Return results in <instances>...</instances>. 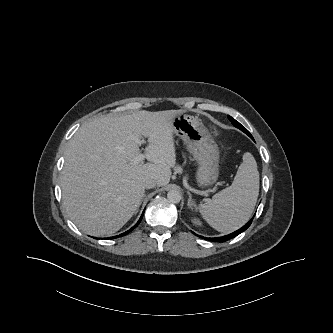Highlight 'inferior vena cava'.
Listing matches in <instances>:
<instances>
[{
    "instance_id": "inferior-vena-cava-1",
    "label": "inferior vena cava",
    "mask_w": 333,
    "mask_h": 333,
    "mask_svg": "<svg viewBox=\"0 0 333 333\" xmlns=\"http://www.w3.org/2000/svg\"><path fill=\"white\" fill-rule=\"evenodd\" d=\"M156 185H157V182L154 179H148L145 181V184H144L145 188H147V189L153 188Z\"/></svg>"
}]
</instances>
